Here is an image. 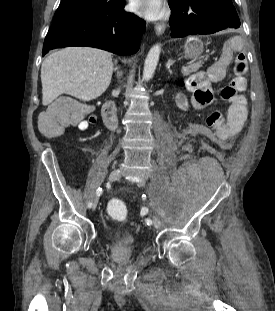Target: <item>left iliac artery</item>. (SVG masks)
<instances>
[{
  "mask_svg": "<svg viewBox=\"0 0 275 311\" xmlns=\"http://www.w3.org/2000/svg\"><path fill=\"white\" fill-rule=\"evenodd\" d=\"M147 224L151 223V220H146Z\"/></svg>",
  "mask_w": 275,
  "mask_h": 311,
  "instance_id": "left-iliac-artery-1",
  "label": "left iliac artery"
}]
</instances>
